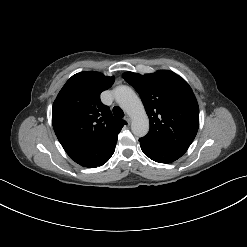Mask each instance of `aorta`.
I'll use <instances>...</instances> for the list:
<instances>
[{
    "label": "aorta",
    "instance_id": "aorta-1",
    "mask_svg": "<svg viewBox=\"0 0 247 247\" xmlns=\"http://www.w3.org/2000/svg\"><path fill=\"white\" fill-rule=\"evenodd\" d=\"M114 96L117 104L130 116L133 134L145 136L149 131V120L139 97L128 86L117 87Z\"/></svg>",
    "mask_w": 247,
    "mask_h": 247
}]
</instances>
